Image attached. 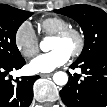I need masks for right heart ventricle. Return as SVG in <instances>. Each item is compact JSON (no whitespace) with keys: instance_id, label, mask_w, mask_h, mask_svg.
I'll return each mask as SVG.
<instances>
[{"instance_id":"e07e8e85","label":"right heart ventricle","mask_w":107,"mask_h":107,"mask_svg":"<svg viewBox=\"0 0 107 107\" xmlns=\"http://www.w3.org/2000/svg\"><path fill=\"white\" fill-rule=\"evenodd\" d=\"M39 26L45 36H52L57 32L70 27L71 23L66 18L60 16H52L42 19L39 22Z\"/></svg>"}]
</instances>
